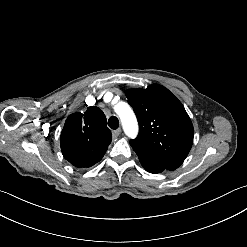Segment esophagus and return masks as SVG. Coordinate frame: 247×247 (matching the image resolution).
I'll list each match as a JSON object with an SVG mask.
<instances>
[{"label":"esophagus","instance_id":"34e87169","mask_svg":"<svg viewBox=\"0 0 247 247\" xmlns=\"http://www.w3.org/2000/svg\"><path fill=\"white\" fill-rule=\"evenodd\" d=\"M120 134H121V129L120 128H118V129H116V130H114L112 132V136H113L114 139L117 138Z\"/></svg>","mask_w":247,"mask_h":247}]
</instances>
